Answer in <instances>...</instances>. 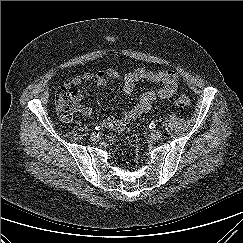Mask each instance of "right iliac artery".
Masks as SVG:
<instances>
[{"label":"right iliac artery","instance_id":"obj_1","mask_svg":"<svg viewBox=\"0 0 243 243\" xmlns=\"http://www.w3.org/2000/svg\"><path fill=\"white\" fill-rule=\"evenodd\" d=\"M104 127H105V125L102 124V123H100V124L96 125V126L94 127V129H95V130H102V129H104Z\"/></svg>","mask_w":243,"mask_h":243}]
</instances>
